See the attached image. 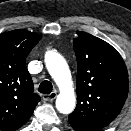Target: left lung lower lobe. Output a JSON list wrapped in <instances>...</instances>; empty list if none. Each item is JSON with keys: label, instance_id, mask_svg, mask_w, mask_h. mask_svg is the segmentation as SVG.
<instances>
[{"label": "left lung lower lobe", "instance_id": "0a47b994", "mask_svg": "<svg viewBox=\"0 0 131 131\" xmlns=\"http://www.w3.org/2000/svg\"><path fill=\"white\" fill-rule=\"evenodd\" d=\"M71 126H72V128L75 130V131H82L79 127H77V126H74V125H72L71 124Z\"/></svg>", "mask_w": 131, "mask_h": 131}]
</instances>
